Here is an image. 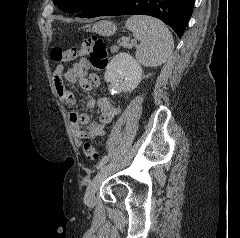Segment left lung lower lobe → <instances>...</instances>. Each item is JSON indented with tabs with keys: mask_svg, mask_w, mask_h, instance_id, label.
<instances>
[{
	"mask_svg": "<svg viewBox=\"0 0 240 238\" xmlns=\"http://www.w3.org/2000/svg\"><path fill=\"white\" fill-rule=\"evenodd\" d=\"M195 0H92L77 17L149 15L168 24L182 37Z\"/></svg>",
	"mask_w": 240,
	"mask_h": 238,
	"instance_id": "1",
	"label": "left lung lower lobe"
}]
</instances>
